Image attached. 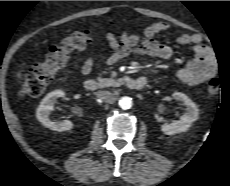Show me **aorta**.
<instances>
[{"mask_svg":"<svg viewBox=\"0 0 230 186\" xmlns=\"http://www.w3.org/2000/svg\"><path fill=\"white\" fill-rule=\"evenodd\" d=\"M119 105L122 109H130L132 107V99L129 97H122L119 100Z\"/></svg>","mask_w":230,"mask_h":186,"instance_id":"1","label":"aorta"}]
</instances>
